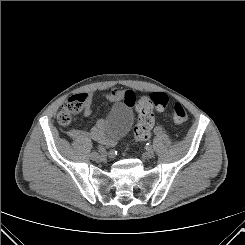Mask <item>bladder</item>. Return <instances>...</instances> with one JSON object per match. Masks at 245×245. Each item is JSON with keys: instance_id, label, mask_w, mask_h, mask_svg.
I'll use <instances>...</instances> for the list:
<instances>
[{"instance_id": "obj_1", "label": "bladder", "mask_w": 245, "mask_h": 245, "mask_svg": "<svg viewBox=\"0 0 245 245\" xmlns=\"http://www.w3.org/2000/svg\"><path fill=\"white\" fill-rule=\"evenodd\" d=\"M133 122L131 110L124 105L114 106L103 123L107 138L111 141L121 139L130 129Z\"/></svg>"}]
</instances>
